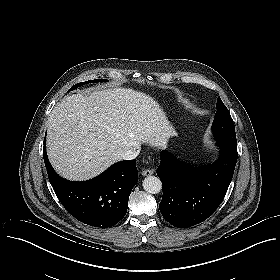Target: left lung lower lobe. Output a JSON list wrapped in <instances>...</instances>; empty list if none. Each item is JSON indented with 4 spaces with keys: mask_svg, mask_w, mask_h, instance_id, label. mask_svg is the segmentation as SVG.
Listing matches in <instances>:
<instances>
[{
    "mask_svg": "<svg viewBox=\"0 0 280 280\" xmlns=\"http://www.w3.org/2000/svg\"><path fill=\"white\" fill-rule=\"evenodd\" d=\"M217 144L219 158L202 168L188 166L169 152H161L157 175L163 185V196L159 208L173 226L187 228L201 223L223 201L238 157L237 142L217 140Z\"/></svg>",
    "mask_w": 280,
    "mask_h": 280,
    "instance_id": "obj_1",
    "label": "left lung lower lobe"
}]
</instances>
